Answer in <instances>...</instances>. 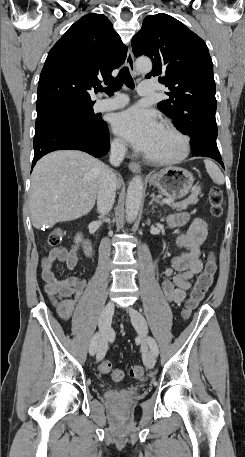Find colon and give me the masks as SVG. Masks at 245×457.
<instances>
[{
  "label": "colon",
  "mask_w": 245,
  "mask_h": 457,
  "mask_svg": "<svg viewBox=\"0 0 245 457\" xmlns=\"http://www.w3.org/2000/svg\"><path fill=\"white\" fill-rule=\"evenodd\" d=\"M210 211L212 216L218 218L222 215L223 205V194L220 189L212 188L208 196ZM64 238V233L61 229H53L47 236L46 243L48 246L54 247L61 243ZM217 270V263L215 256L209 254L206 258L205 265L197 280L190 291L189 297L185 304L183 311V317L188 318L193 311L198 307L200 302L205 298L206 294L210 290L214 276ZM99 370L102 373H110L111 378L114 381H119L123 377V372L119 369H113L109 360H103L99 364ZM128 375L133 379H140L144 375V368L140 364L132 365L128 369Z\"/></svg>",
  "instance_id": "obj_1"
}]
</instances>
